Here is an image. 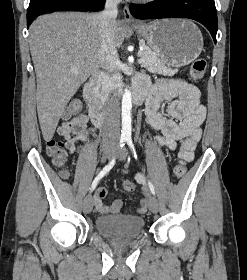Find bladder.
Returning <instances> with one entry per match:
<instances>
[{"label": "bladder", "instance_id": "bladder-1", "mask_svg": "<svg viewBox=\"0 0 247 280\" xmlns=\"http://www.w3.org/2000/svg\"><path fill=\"white\" fill-rule=\"evenodd\" d=\"M95 228L104 237L125 241L139 237L144 231L145 221L140 217L106 215L95 219Z\"/></svg>", "mask_w": 247, "mask_h": 280}]
</instances>
